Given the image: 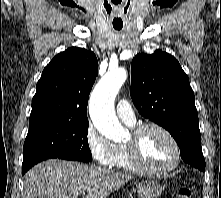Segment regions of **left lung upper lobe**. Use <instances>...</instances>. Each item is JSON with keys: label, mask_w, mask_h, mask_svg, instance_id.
Listing matches in <instances>:
<instances>
[{"label": "left lung upper lobe", "mask_w": 221, "mask_h": 198, "mask_svg": "<svg viewBox=\"0 0 221 198\" xmlns=\"http://www.w3.org/2000/svg\"><path fill=\"white\" fill-rule=\"evenodd\" d=\"M130 95L142 116L170 132L183 160L204 172L194 92L179 62L160 50L136 55L131 64Z\"/></svg>", "instance_id": "obj_1"}]
</instances>
